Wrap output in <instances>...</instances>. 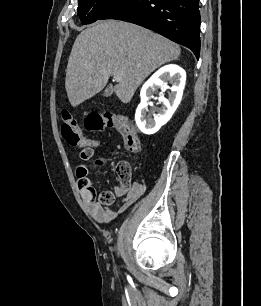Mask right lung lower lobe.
Here are the masks:
<instances>
[{"label": "right lung lower lobe", "instance_id": "right-lung-lower-lobe-1", "mask_svg": "<svg viewBox=\"0 0 261 306\" xmlns=\"http://www.w3.org/2000/svg\"><path fill=\"white\" fill-rule=\"evenodd\" d=\"M117 19L151 29L200 53L199 0H118L98 20Z\"/></svg>", "mask_w": 261, "mask_h": 306}]
</instances>
